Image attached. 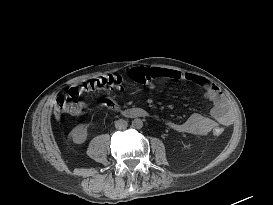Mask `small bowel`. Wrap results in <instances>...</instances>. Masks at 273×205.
<instances>
[{"mask_svg":"<svg viewBox=\"0 0 273 205\" xmlns=\"http://www.w3.org/2000/svg\"><path fill=\"white\" fill-rule=\"evenodd\" d=\"M150 83L160 79H184L200 86L204 89L206 97L212 102L211 117L194 114L182 123L168 122V126L177 132L188 133L192 135H207L216 128L230 125L232 123V114L230 112L225 96L220 92L218 87L207 78L194 75L191 73H180L171 69L149 67ZM132 113L136 112V108L129 109Z\"/></svg>","mask_w":273,"mask_h":205,"instance_id":"obj_1","label":"small bowel"}]
</instances>
